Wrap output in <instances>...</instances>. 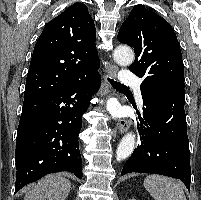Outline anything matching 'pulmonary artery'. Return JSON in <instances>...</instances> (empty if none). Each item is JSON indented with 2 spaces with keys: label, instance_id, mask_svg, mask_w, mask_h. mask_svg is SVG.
Wrapping results in <instances>:
<instances>
[{
  "label": "pulmonary artery",
  "instance_id": "e3ab8cb5",
  "mask_svg": "<svg viewBox=\"0 0 201 200\" xmlns=\"http://www.w3.org/2000/svg\"><path fill=\"white\" fill-rule=\"evenodd\" d=\"M119 79L122 84L132 85L135 87H139V85L141 83L140 78L137 75H135L134 73H131L129 71H123L121 73V75L119 76ZM137 97L140 101H142V97H141L140 93H138Z\"/></svg>",
  "mask_w": 201,
  "mask_h": 200
}]
</instances>
